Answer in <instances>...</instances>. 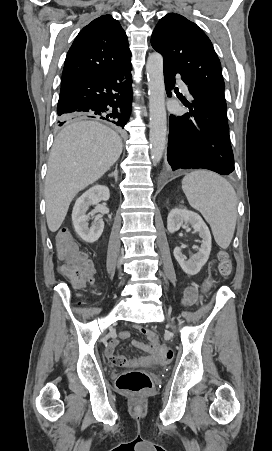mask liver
<instances>
[{
  "instance_id": "6515ba94",
  "label": "liver",
  "mask_w": 272,
  "mask_h": 451,
  "mask_svg": "<svg viewBox=\"0 0 272 451\" xmlns=\"http://www.w3.org/2000/svg\"><path fill=\"white\" fill-rule=\"evenodd\" d=\"M122 150L114 130L73 116L56 136L48 160L45 202L50 231L59 229L76 194L108 172Z\"/></svg>"
}]
</instances>
